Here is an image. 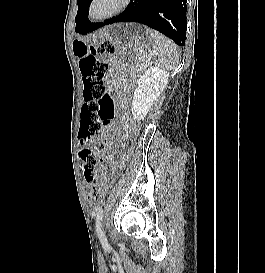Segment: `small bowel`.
<instances>
[{
    "label": "small bowel",
    "instance_id": "1",
    "mask_svg": "<svg viewBox=\"0 0 265 273\" xmlns=\"http://www.w3.org/2000/svg\"><path fill=\"white\" fill-rule=\"evenodd\" d=\"M104 59L112 65V69L107 76V81H108V84L110 85L111 88H115L117 85V74H116V70L114 68L115 61H114V59H110V58H104ZM109 131H110V126H106L103 129V136H106L109 133ZM104 157H105V159H107L106 154L104 155Z\"/></svg>",
    "mask_w": 265,
    "mask_h": 273
}]
</instances>
